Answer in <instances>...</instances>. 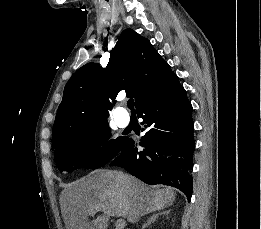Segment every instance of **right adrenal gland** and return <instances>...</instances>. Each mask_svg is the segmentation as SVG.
<instances>
[{
	"mask_svg": "<svg viewBox=\"0 0 261 229\" xmlns=\"http://www.w3.org/2000/svg\"><path fill=\"white\" fill-rule=\"evenodd\" d=\"M170 211H164V213H157V215H152L150 219H148L147 223L143 225L142 229H146L148 225H151V223H155L156 219H158L159 215H169Z\"/></svg>",
	"mask_w": 261,
	"mask_h": 229,
	"instance_id": "1",
	"label": "right adrenal gland"
}]
</instances>
